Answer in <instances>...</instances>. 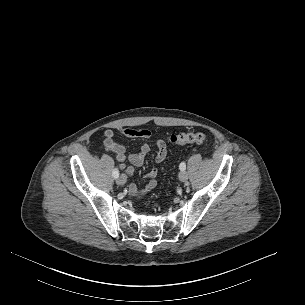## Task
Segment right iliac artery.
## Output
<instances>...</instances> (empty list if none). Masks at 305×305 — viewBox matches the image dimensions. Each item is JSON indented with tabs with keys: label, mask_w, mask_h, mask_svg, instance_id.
Returning <instances> with one entry per match:
<instances>
[{
	"label": "right iliac artery",
	"mask_w": 305,
	"mask_h": 305,
	"mask_svg": "<svg viewBox=\"0 0 305 305\" xmlns=\"http://www.w3.org/2000/svg\"><path fill=\"white\" fill-rule=\"evenodd\" d=\"M114 178H118L119 177V171L117 168L114 169L113 173H112Z\"/></svg>",
	"instance_id": "right-iliac-artery-1"
}]
</instances>
